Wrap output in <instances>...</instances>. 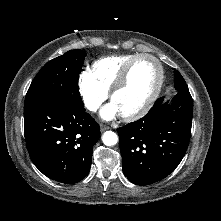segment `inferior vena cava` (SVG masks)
Here are the masks:
<instances>
[{"label": "inferior vena cava", "instance_id": "inferior-vena-cava-1", "mask_svg": "<svg viewBox=\"0 0 221 221\" xmlns=\"http://www.w3.org/2000/svg\"><path fill=\"white\" fill-rule=\"evenodd\" d=\"M97 108H98V105L93 104V105H91V106L89 107V110H91V111H96Z\"/></svg>", "mask_w": 221, "mask_h": 221}]
</instances>
